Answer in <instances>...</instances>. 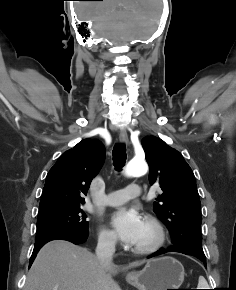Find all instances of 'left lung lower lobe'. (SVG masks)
Returning <instances> with one entry per match:
<instances>
[{
  "label": "left lung lower lobe",
  "instance_id": "obj_1",
  "mask_svg": "<svg viewBox=\"0 0 236 290\" xmlns=\"http://www.w3.org/2000/svg\"><path fill=\"white\" fill-rule=\"evenodd\" d=\"M169 252H179V253H183V254H187V255H193V256L197 257L198 259H200L204 263L205 266H207L206 265V257L196 253L193 250H189V249L184 248V247H173L172 249L169 250ZM164 253H166V252L161 249V250L157 251L156 253H154L152 256H156V255H160V254H164ZM152 256H150V257H152Z\"/></svg>",
  "mask_w": 236,
  "mask_h": 290
}]
</instances>
